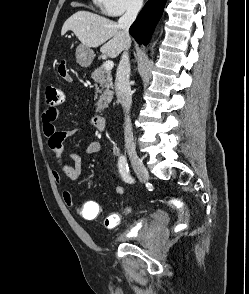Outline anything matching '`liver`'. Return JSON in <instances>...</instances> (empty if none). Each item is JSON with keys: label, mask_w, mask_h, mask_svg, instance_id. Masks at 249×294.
I'll use <instances>...</instances> for the list:
<instances>
[{"label": "liver", "mask_w": 249, "mask_h": 294, "mask_svg": "<svg viewBox=\"0 0 249 294\" xmlns=\"http://www.w3.org/2000/svg\"><path fill=\"white\" fill-rule=\"evenodd\" d=\"M73 31L82 45L96 48L111 58L117 57L124 48L125 37L118 24L100 15L78 11L69 17L61 30V35Z\"/></svg>", "instance_id": "6515ba94"}]
</instances>
